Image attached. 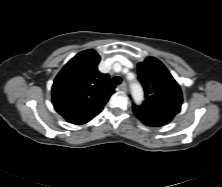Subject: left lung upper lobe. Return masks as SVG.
<instances>
[{
    "label": "left lung upper lobe",
    "instance_id": "5c2ea615",
    "mask_svg": "<svg viewBox=\"0 0 222 187\" xmlns=\"http://www.w3.org/2000/svg\"><path fill=\"white\" fill-rule=\"evenodd\" d=\"M139 81L144 87L142 109L177 114L182 105V92L167 68L158 59L146 58L138 63Z\"/></svg>",
    "mask_w": 222,
    "mask_h": 187
}]
</instances>
